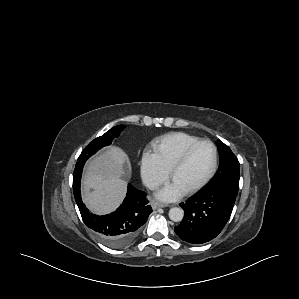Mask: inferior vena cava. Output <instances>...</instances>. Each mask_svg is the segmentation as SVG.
<instances>
[{"label": "inferior vena cava", "mask_w": 299, "mask_h": 299, "mask_svg": "<svg viewBox=\"0 0 299 299\" xmlns=\"http://www.w3.org/2000/svg\"><path fill=\"white\" fill-rule=\"evenodd\" d=\"M144 183L150 189H155L159 186V183L157 181L150 178L145 179Z\"/></svg>", "instance_id": "obj_1"}]
</instances>
